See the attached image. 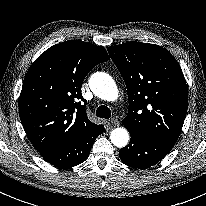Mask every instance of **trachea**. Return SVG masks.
<instances>
[{
    "label": "trachea",
    "mask_w": 206,
    "mask_h": 206,
    "mask_svg": "<svg viewBox=\"0 0 206 206\" xmlns=\"http://www.w3.org/2000/svg\"><path fill=\"white\" fill-rule=\"evenodd\" d=\"M96 116L99 118L109 119L111 117V110L104 105H101L96 110Z\"/></svg>",
    "instance_id": "3493384b"
}]
</instances>
